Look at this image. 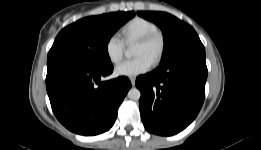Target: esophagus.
<instances>
[{"mask_svg":"<svg viewBox=\"0 0 261 150\" xmlns=\"http://www.w3.org/2000/svg\"><path fill=\"white\" fill-rule=\"evenodd\" d=\"M130 81H131L132 86H135L136 78L135 77H131Z\"/></svg>","mask_w":261,"mask_h":150,"instance_id":"obj_1","label":"esophagus"}]
</instances>
